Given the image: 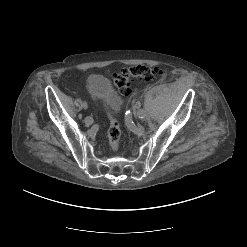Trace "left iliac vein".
Listing matches in <instances>:
<instances>
[{"instance_id": "4c4485c4", "label": "left iliac vein", "mask_w": 247, "mask_h": 247, "mask_svg": "<svg viewBox=\"0 0 247 247\" xmlns=\"http://www.w3.org/2000/svg\"><path fill=\"white\" fill-rule=\"evenodd\" d=\"M134 115L136 116V117H138L139 115H138V112H136L135 110H134ZM144 118H146V116H144L142 119H144Z\"/></svg>"}]
</instances>
